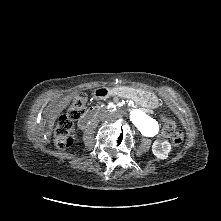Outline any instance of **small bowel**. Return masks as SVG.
Instances as JSON below:
<instances>
[{"instance_id": "small-bowel-1", "label": "small bowel", "mask_w": 221, "mask_h": 221, "mask_svg": "<svg viewBox=\"0 0 221 221\" xmlns=\"http://www.w3.org/2000/svg\"><path fill=\"white\" fill-rule=\"evenodd\" d=\"M65 104H66V100H63V101H61L60 103H59V108H62V107H64L65 106Z\"/></svg>"}]
</instances>
